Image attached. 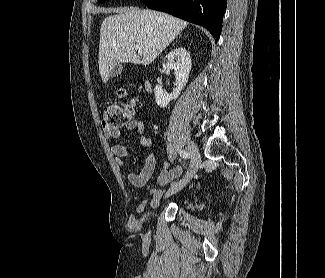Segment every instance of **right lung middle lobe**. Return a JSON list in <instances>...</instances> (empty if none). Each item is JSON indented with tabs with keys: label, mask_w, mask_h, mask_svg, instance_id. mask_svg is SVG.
I'll return each instance as SVG.
<instances>
[{
	"label": "right lung middle lobe",
	"mask_w": 325,
	"mask_h": 278,
	"mask_svg": "<svg viewBox=\"0 0 325 278\" xmlns=\"http://www.w3.org/2000/svg\"><path fill=\"white\" fill-rule=\"evenodd\" d=\"M100 3H104L106 0H98Z\"/></svg>",
	"instance_id": "1"
}]
</instances>
